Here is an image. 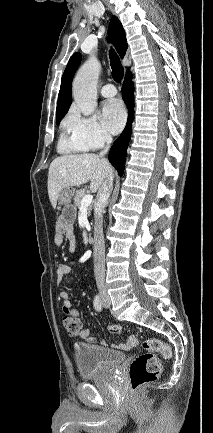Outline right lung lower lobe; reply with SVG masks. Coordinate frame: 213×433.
I'll return each instance as SVG.
<instances>
[{"instance_id":"1","label":"right lung lower lobe","mask_w":213,"mask_h":433,"mask_svg":"<svg viewBox=\"0 0 213 433\" xmlns=\"http://www.w3.org/2000/svg\"><path fill=\"white\" fill-rule=\"evenodd\" d=\"M134 86L132 82V75L130 71L127 72L124 83L122 85V97L124 102L130 108V115L128 118V125L122 132L120 137L114 142L109 152V161L117 169L118 174L121 176L125 168V160L127 154V147L131 137V121H132V107L134 103Z\"/></svg>"}]
</instances>
